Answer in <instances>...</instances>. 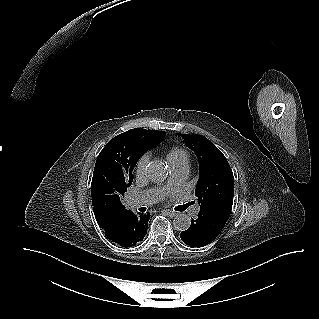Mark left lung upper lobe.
<instances>
[{"label":"left lung upper lobe","mask_w":319,"mask_h":319,"mask_svg":"<svg viewBox=\"0 0 319 319\" xmlns=\"http://www.w3.org/2000/svg\"><path fill=\"white\" fill-rule=\"evenodd\" d=\"M199 161V179L195 189L200 208L232 207L234 177L223 153L202 135L179 134Z\"/></svg>","instance_id":"5c2ea615"}]
</instances>
